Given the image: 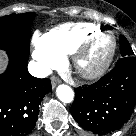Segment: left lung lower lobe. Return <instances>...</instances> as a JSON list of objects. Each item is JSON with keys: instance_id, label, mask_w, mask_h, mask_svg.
Instances as JSON below:
<instances>
[{"instance_id": "obj_1", "label": "left lung lower lobe", "mask_w": 136, "mask_h": 136, "mask_svg": "<svg viewBox=\"0 0 136 136\" xmlns=\"http://www.w3.org/2000/svg\"><path fill=\"white\" fill-rule=\"evenodd\" d=\"M75 93L70 111L81 127L95 134L118 129L136 104V57H122L107 75Z\"/></svg>"}]
</instances>
